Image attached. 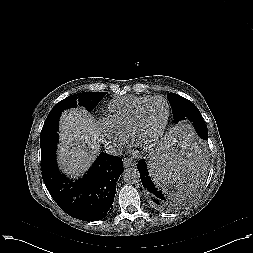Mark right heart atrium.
I'll use <instances>...</instances> for the list:
<instances>
[{"label": "right heart atrium", "instance_id": "d8ad5b80", "mask_svg": "<svg viewBox=\"0 0 253 253\" xmlns=\"http://www.w3.org/2000/svg\"><path fill=\"white\" fill-rule=\"evenodd\" d=\"M99 129L105 145L110 149H116L126 141L125 135L115 132L106 120L99 122Z\"/></svg>", "mask_w": 253, "mask_h": 253}]
</instances>
